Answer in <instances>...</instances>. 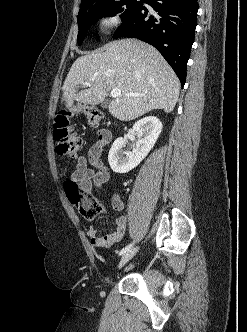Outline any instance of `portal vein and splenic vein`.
I'll return each mask as SVG.
<instances>
[{
	"label": "portal vein and splenic vein",
	"mask_w": 247,
	"mask_h": 332,
	"mask_svg": "<svg viewBox=\"0 0 247 332\" xmlns=\"http://www.w3.org/2000/svg\"><path fill=\"white\" fill-rule=\"evenodd\" d=\"M83 86H90V82H84L82 84ZM110 90V95L113 98L119 97L122 93L120 89H109ZM127 96H138V94H126Z\"/></svg>",
	"instance_id": "portal-vein-and-splenic-vein-1"
}]
</instances>
